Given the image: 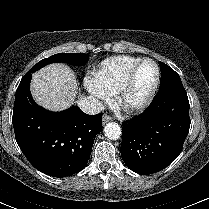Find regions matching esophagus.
<instances>
[{
	"label": "esophagus",
	"mask_w": 209,
	"mask_h": 209,
	"mask_svg": "<svg viewBox=\"0 0 209 209\" xmlns=\"http://www.w3.org/2000/svg\"><path fill=\"white\" fill-rule=\"evenodd\" d=\"M112 120H113L112 117H110L109 115L105 114V115H103V117H102V124L105 125L107 122H110V121H112Z\"/></svg>",
	"instance_id": "1"
}]
</instances>
